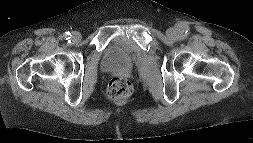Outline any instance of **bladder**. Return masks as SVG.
<instances>
[{"label": "bladder", "instance_id": "31cf9c89", "mask_svg": "<svg viewBox=\"0 0 253 143\" xmlns=\"http://www.w3.org/2000/svg\"><path fill=\"white\" fill-rule=\"evenodd\" d=\"M101 64L104 69L109 71L126 69L133 64V53L123 40L114 39L104 50Z\"/></svg>", "mask_w": 253, "mask_h": 143}]
</instances>
